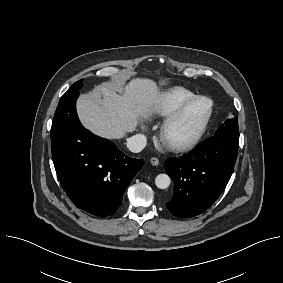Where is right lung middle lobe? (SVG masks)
Segmentation results:
<instances>
[{
	"label": "right lung middle lobe",
	"mask_w": 283,
	"mask_h": 283,
	"mask_svg": "<svg viewBox=\"0 0 283 283\" xmlns=\"http://www.w3.org/2000/svg\"><path fill=\"white\" fill-rule=\"evenodd\" d=\"M81 86H82V79L75 82L62 97H66L77 92Z\"/></svg>",
	"instance_id": "1"
}]
</instances>
